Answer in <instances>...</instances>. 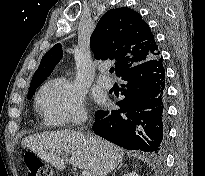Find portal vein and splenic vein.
<instances>
[{"mask_svg": "<svg viewBox=\"0 0 205 176\" xmlns=\"http://www.w3.org/2000/svg\"><path fill=\"white\" fill-rule=\"evenodd\" d=\"M58 154L61 155V156L63 155V153H61V152H59ZM82 176H91V175H90V173L88 171L84 170V171H82Z\"/></svg>", "mask_w": 205, "mask_h": 176, "instance_id": "portal-vein-and-splenic-vein-1", "label": "portal vein and splenic vein"}]
</instances>
